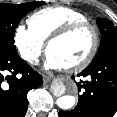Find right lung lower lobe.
<instances>
[{"mask_svg": "<svg viewBox=\"0 0 117 117\" xmlns=\"http://www.w3.org/2000/svg\"><path fill=\"white\" fill-rule=\"evenodd\" d=\"M41 85L42 76L17 53L0 52V117H24L28 91Z\"/></svg>", "mask_w": 117, "mask_h": 117, "instance_id": "1", "label": "right lung lower lobe"}]
</instances>
